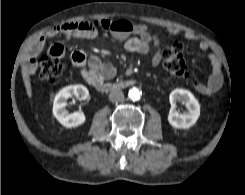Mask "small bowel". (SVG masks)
<instances>
[{"instance_id": "1", "label": "small bowel", "mask_w": 245, "mask_h": 195, "mask_svg": "<svg viewBox=\"0 0 245 195\" xmlns=\"http://www.w3.org/2000/svg\"><path fill=\"white\" fill-rule=\"evenodd\" d=\"M110 32L115 38L124 41V48L129 52L148 54L150 45L153 44L154 52L151 55V64L158 66L162 60L160 51V38L150 33L145 24H132L127 20L102 19L99 21H76L67 22L52 29L45 35L37 38L31 45L25 59V69L32 74L36 70V57L44 48L49 39L59 35H68L79 38L94 39L98 36L100 30ZM171 35L179 33L177 28H169ZM184 37L190 41H198V37L192 31H186ZM199 48L203 51L209 49V43L205 40L199 41ZM51 56L62 57L65 54L63 45L54 44L49 48ZM73 64L79 69L82 77L91 85L96 86L104 80L113 78L116 74V68L112 63L106 62L98 56L92 55L89 58L82 51H74L71 54ZM211 65V74L207 81H199L194 84V88L202 95H212L216 93L223 84L222 65L219 58L209 55Z\"/></svg>"}]
</instances>
